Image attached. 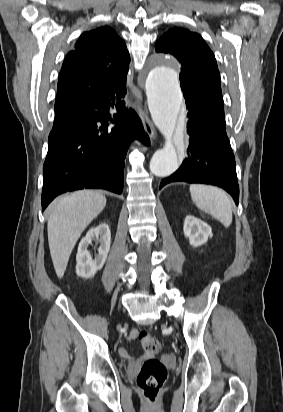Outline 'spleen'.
Returning a JSON list of instances; mask_svg holds the SVG:
<instances>
[{"label":"spleen","instance_id":"3e777b00","mask_svg":"<svg viewBox=\"0 0 283 412\" xmlns=\"http://www.w3.org/2000/svg\"><path fill=\"white\" fill-rule=\"evenodd\" d=\"M194 204L203 212L220 221L225 227L232 223V205L228 195L221 189L208 185L190 186Z\"/></svg>","mask_w":283,"mask_h":412}]
</instances>
